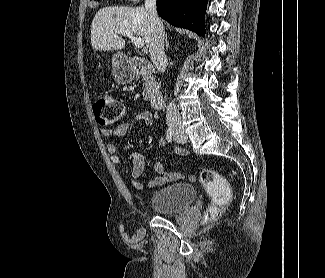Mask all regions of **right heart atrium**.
<instances>
[{
	"instance_id": "obj_1",
	"label": "right heart atrium",
	"mask_w": 325,
	"mask_h": 278,
	"mask_svg": "<svg viewBox=\"0 0 325 278\" xmlns=\"http://www.w3.org/2000/svg\"><path fill=\"white\" fill-rule=\"evenodd\" d=\"M130 1H132V2H138V1H140V0H130Z\"/></svg>"
}]
</instances>
